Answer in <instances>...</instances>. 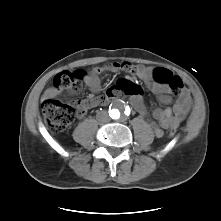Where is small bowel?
Returning <instances> with one entry per match:
<instances>
[{"label": "small bowel", "instance_id": "1", "mask_svg": "<svg viewBox=\"0 0 221 221\" xmlns=\"http://www.w3.org/2000/svg\"><path fill=\"white\" fill-rule=\"evenodd\" d=\"M129 71L133 70L134 73L142 79L147 85L148 89L154 93L157 99L163 104H169L172 101L171 91L168 87L158 83L153 74L143 66L132 67L129 63H119V62H108L103 66L95 67L91 71L85 73L82 77L85 85L95 94V96L79 100L75 102L77 117L83 118L86 116L88 111L99 105H106L112 100L118 98L122 92L123 88L128 85L130 80L128 78L122 79L115 85L110 87L105 94H100L101 92V79L100 74L102 72H119V71ZM166 70V69H164ZM168 71V70H167ZM125 93V92H124ZM59 95L61 92L57 93L52 88H49L45 95ZM131 104L137 110V112L144 118L148 116V110L145 106L143 97L141 95H130ZM191 105V97L186 89H183L181 93L178 94L177 100L173 108H156L152 112L153 118L156 122H150V128L155 136L160 137L163 134L164 129L171 128L173 126H178L186 117L189 112Z\"/></svg>", "mask_w": 221, "mask_h": 221}]
</instances>
